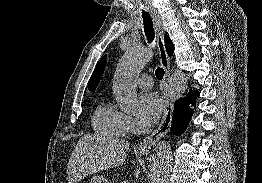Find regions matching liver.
<instances>
[{"mask_svg":"<svg viewBox=\"0 0 262 183\" xmlns=\"http://www.w3.org/2000/svg\"><path fill=\"white\" fill-rule=\"evenodd\" d=\"M129 147V142L103 133L83 135L68 162V183H78L89 174L121 166Z\"/></svg>","mask_w":262,"mask_h":183,"instance_id":"6515ba94","label":"liver"}]
</instances>
